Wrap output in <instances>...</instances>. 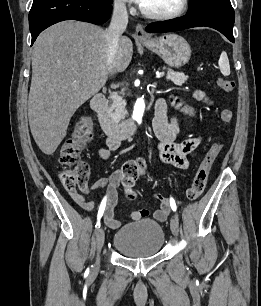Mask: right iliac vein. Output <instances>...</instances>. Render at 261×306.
Instances as JSON below:
<instances>
[{
    "label": "right iliac vein",
    "mask_w": 261,
    "mask_h": 306,
    "mask_svg": "<svg viewBox=\"0 0 261 306\" xmlns=\"http://www.w3.org/2000/svg\"><path fill=\"white\" fill-rule=\"evenodd\" d=\"M104 240H105L104 230L98 228L95 231L97 257H96V261H95V264H94V267H93V273L97 272V270L99 269V266H100V256L99 255H100L101 249L103 247Z\"/></svg>",
    "instance_id": "1"
}]
</instances>
